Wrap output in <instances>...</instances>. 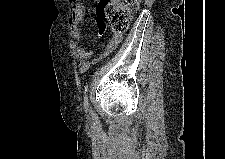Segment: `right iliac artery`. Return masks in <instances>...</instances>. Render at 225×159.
Segmentation results:
<instances>
[{"label":"right iliac artery","mask_w":225,"mask_h":159,"mask_svg":"<svg viewBox=\"0 0 225 159\" xmlns=\"http://www.w3.org/2000/svg\"><path fill=\"white\" fill-rule=\"evenodd\" d=\"M84 108L86 109L87 112L91 111V107L89 106L88 98H84Z\"/></svg>","instance_id":"82829eb1"}]
</instances>
